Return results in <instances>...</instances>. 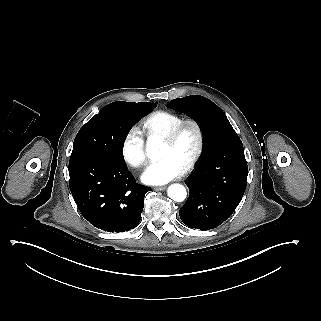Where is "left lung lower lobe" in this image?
<instances>
[{
    "instance_id": "0a47b994",
    "label": "left lung lower lobe",
    "mask_w": 321,
    "mask_h": 321,
    "mask_svg": "<svg viewBox=\"0 0 321 321\" xmlns=\"http://www.w3.org/2000/svg\"><path fill=\"white\" fill-rule=\"evenodd\" d=\"M248 166L241 140L222 144L201 159L186 182L189 197L179 210L190 228L209 230L226 221L246 189Z\"/></svg>"
}]
</instances>
